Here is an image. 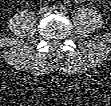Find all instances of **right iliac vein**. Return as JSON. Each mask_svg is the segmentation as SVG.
Listing matches in <instances>:
<instances>
[{
	"mask_svg": "<svg viewBox=\"0 0 111 106\" xmlns=\"http://www.w3.org/2000/svg\"><path fill=\"white\" fill-rule=\"evenodd\" d=\"M44 12H46V9H43V10H42V13H44Z\"/></svg>",
	"mask_w": 111,
	"mask_h": 106,
	"instance_id": "63e3f726",
	"label": "right iliac vein"
}]
</instances>
